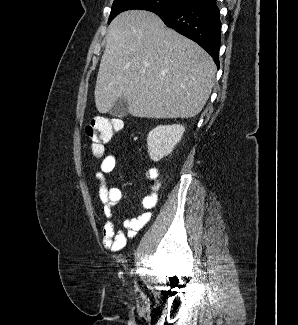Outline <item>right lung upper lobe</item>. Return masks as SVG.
I'll return each instance as SVG.
<instances>
[{
    "label": "right lung upper lobe",
    "mask_w": 298,
    "mask_h": 325,
    "mask_svg": "<svg viewBox=\"0 0 298 325\" xmlns=\"http://www.w3.org/2000/svg\"><path fill=\"white\" fill-rule=\"evenodd\" d=\"M158 13H160V12H164V11H162V10H159V11H157Z\"/></svg>",
    "instance_id": "right-lung-upper-lobe-1"
}]
</instances>
